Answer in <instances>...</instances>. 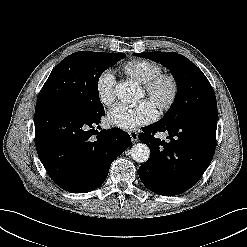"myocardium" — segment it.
<instances>
[{
    "label": "myocardium",
    "instance_id": "1",
    "mask_svg": "<svg viewBox=\"0 0 247 247\" xmlns=\"http://www.w3.org/2000/svg\"><path fill=\"white\" fill-rule=\"evenodd\" d=\"M170 85V93L166 99L160 101L157 105L159 113L169 111L178 99L180 93V82L173 74L161 73L149 81L143 83V90L148 98H154L158 88L163 84Z\"/></svg>",
    "mask_w": 247,
    "mask_h": 247
}]
</instances>
